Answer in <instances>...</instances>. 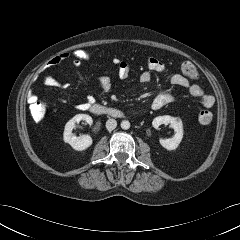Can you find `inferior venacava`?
<instances>
[{"label": "inferior vena cava", "instance_id": "obj_1", "mask_svg": "<svg viewBox=\"0 0 240 240\" xmlns=\"http://www.w3.org/2000/svg\"><path fill=\"white\" fill-rule=\"evenodd\" d=\"M116 126H117V121L115 119L107 120V122H106L107 130L112 131L116 128Z\"/></svg>", "mask_w": 240, "mask_h": 240}]
</instances>
